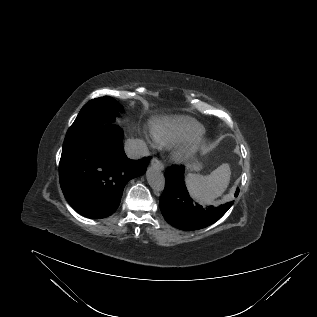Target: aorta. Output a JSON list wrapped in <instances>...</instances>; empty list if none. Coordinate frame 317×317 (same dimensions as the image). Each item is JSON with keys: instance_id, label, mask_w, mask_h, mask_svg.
Returning a JSON list of instances; mask_svg holds the SVG:
<instances>
[{"instance_id": "1", "label": "aorta", "mask_w": 317, "mask_h": 317, "mask_svg": "<svg viewBox=\"0 0 317 317\" xmlns=\"http://www.w3.org/2000/svg\"><path fill=\"white\" fill-rule=\"evenodd\" d=\"M146 176H147V181H148L150 187L154 191L161 192L164 190L165 177H164L162 170L160 169V167L157 164L151 165L148 168V170L146 172Z\"/></svg>"}]
</instances>
